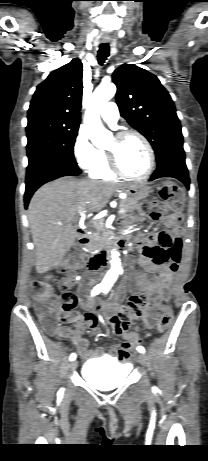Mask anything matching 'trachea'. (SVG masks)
<instances>
[{
  "label": "trachea",
  "mask_w": 208,
  "mask_h": 461,
  "mask_svg": "<svg viewBox=\"0 0 208 461\" xmlns=\"http://www.w3.org/2000/svg\"><path fill=\"white\" fill-rule=\"evenodd\" d=\"M108 56H109V45L107 43H103L99 47L98 63L102 65Z\"/></svg>",
  "instance_id": "1"
}]
</instances>
